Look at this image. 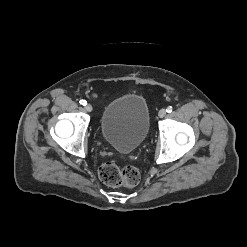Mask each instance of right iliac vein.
I'll list each match as a JSON object with an SVG mask.
<instances>
[{
    "instance_id": "63e3f726",
    "label": "right iliac vein",
    "mask_w": 247,
    "mask_h": 247,
    "mask_svg": "<svg viewBox=\"0 0 247 247\" xmlns=\"http://www.w3.org/2000/svg\"><path fill=\"white\" fill-rule=\"evenodd\" d=\"M85 109H86L87 112H91L93 108H92L91 104H86L85 105Z\"/></svg>"
}]
</instances>
